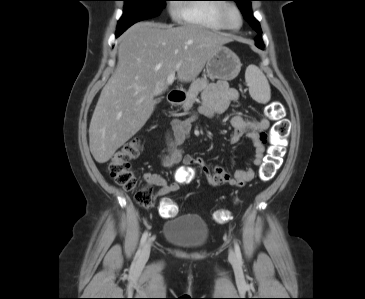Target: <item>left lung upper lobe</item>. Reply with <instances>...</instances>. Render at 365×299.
Instances as JSON below:
<instances>
[{"mask_svg": "<svg viewBox=\"0 0 365 299\" xmlns=\"http://www.w3.org/2000/svg\"><path fill=\"white\" fill-rule=\"evenodd\" d=\"M237 2L239 9L241 10L244 18L248 21L250 26L258 33L261 34V28L259 22L253 17L251 11V3L253 0H233Z\"/></svg>", "mask_w": 365, "mask_h": 299, "instance_id": "obj_1", "label": "left lung upper lobe"}]
</instances>
